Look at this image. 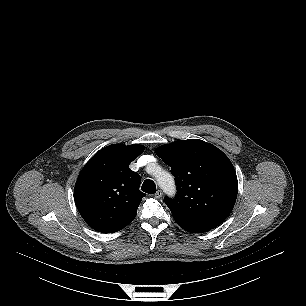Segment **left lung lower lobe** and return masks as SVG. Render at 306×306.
Segmentation results:
<instances>
[{"mask_svg":"<svg viewBox=\"0 0 306 306\" xmlns=\"http://www.w3.org/2000/svg\"><path fill=\"white\" fill-rule=\"evenodd\" d=\"M181 227L188 232H194V233H201V232L209 231V230L198 229V228H193V227H188V226H181Z\"/></svg>","mask_w":306,"mask_h":306,"instance_id":"0a47b994","label":"left lung lower lobe"}]
</instances>
